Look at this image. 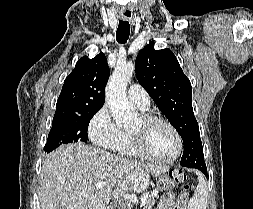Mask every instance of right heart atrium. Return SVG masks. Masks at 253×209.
I'll return each mask as SVG.
<instances>
[{
  "label": "right heart atrium",
  "mask_w": 253,
  "mask_h": 209,
  "mask_svg": "<svg viewBox=\"0 0 253 209\" xmlns=\"http://www.w3.org/2000/svg\"><path fill=\"white\" fill-rule=\"evenodd\" d=\"M88 135L94 145L104 149H118L124 141V131L115 124L107 107H102L92 117Z\"/></svg>",
  "instance_id": "right-heart-atrium-1"
}]
</instances>
